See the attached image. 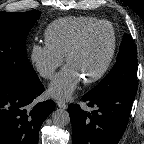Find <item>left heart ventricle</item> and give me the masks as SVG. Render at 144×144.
Listing matches in <instances>:
<instances>
[{"label": "left heart ventricle", "mask_w": 144, "mask_h": 144, "mask_svg": "<svg viewBox=\"0 0 144 144\" xmlns=\"http://www.w3.org/2000/svg\"><path fill=\"white\" fill-rule=\"evenodd\" d=\"M112 42L111 29L105 25L92 31L73 54L69 65L82 79L96 73L103 65L110 51Z\"/></svg>", "instance_id": "obj_1"}]
</instances>
